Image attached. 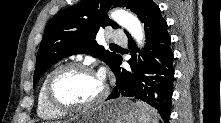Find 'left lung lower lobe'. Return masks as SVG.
Masks as SVG:
<instances>
[{
    "label": "left lung lower lobe",
    "mask_w": 221,
    "mask_h": 123,
    "mask_svg": "<svg viewBox=\"0 0 221 123\" xmlns=\"http://www.w3.org/2000/svg\"><path fill=\"white\" fill-rule=\"evenodd\" d=\"M139 19L144 23L146 34L142 60H137L132 45H129L132 50V57L128 61L131 70H126L120 67L122 57L119 55L111 68L116 76V87L108 99L135 97L155 107L161 117L168 121L173 93L174 58L167 22L153 1L146 5Z\"/></svg>",
    "instance_id": "obj_1"
}]
</instances>
